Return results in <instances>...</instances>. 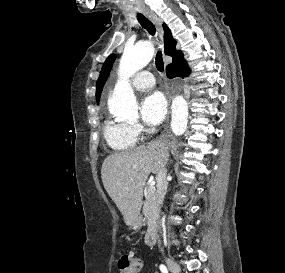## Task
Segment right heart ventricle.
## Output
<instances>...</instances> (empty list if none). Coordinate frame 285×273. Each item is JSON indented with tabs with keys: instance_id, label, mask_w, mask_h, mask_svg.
<instances>
[{
	"instance_id": "obj_1",
	"label": "right heart ventricle",
	"mask_w": 285,
	"mask_h": 273,
	"mask_svg": "<svg viewBox=\"0 0 285 273\" xmlns=\"http://www.w3.org/2000/svg\"><path fill=\"white\" fill-rule=\"evenodd\" d=\"M103 136L107 145L114 151L131 150L137 143V134L131 125L113 119L104 122Z\"/></svg>"
}]
</instances>
